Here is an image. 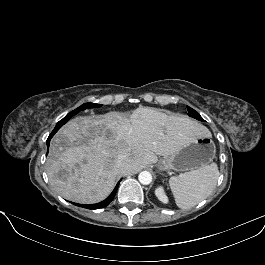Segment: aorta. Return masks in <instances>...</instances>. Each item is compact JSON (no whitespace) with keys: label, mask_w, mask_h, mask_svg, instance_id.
I'll use <instances>...</instances> for the list:
<instances>
[{"label":"aorta","mask_w":265,"mask_h":265,"mask_svg":"<svg viewBox=\"0 0 265 265\" xmlns=\"http://www.w3.org/2000/svg\"><path fill=\"white\" fill-rule=\"evenodd\" d=\"M138 180L141 184L148 185L152 182V175L148 171H142L138 176Z\"/></svg>","instance_id":"762f6f07"}]
</instances>
